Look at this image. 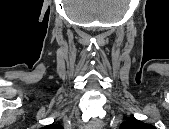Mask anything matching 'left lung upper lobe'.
Returning a JSON list of instances; mask_svg holds the SVG:
<instances>
[{
    "mask_svg": "<svg viewBox=\"0 0 169 129\" xmlns=\"http://www.w3.org/2000/svg\"><path fill=\"white\" fill-rule=\"evenodd\" d=\"M120 129H154V127L150 124H145L142 121L130 118L121 124Z\"/></svg>",
    "mask_w": 169,
    "mask_h": 129,
    "instance_id": "left-lung-upper-lobe-1",
    "label": "left lung upper lobe"
}]
</instances>
